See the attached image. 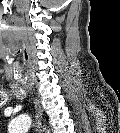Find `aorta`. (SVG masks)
<instances>
[{
  "label": "aorta",
  "mask_w": 120,
  "mask_h": 133,
  "mask_svg": "<svg viewBox=\"0 0 120 133\" xmlns=\"http://www.w3.org/2000/svg\"><path fill=\"white\" fill-rule=\"evenodd\" d=\"M31 120L29 117L26 116H21L16 119H14L10 126L9 130L12 131L13 133H19V132H24L27 131L30 127Z\"/></svg>",
  "instance_id": "1"
}]
</instances>
